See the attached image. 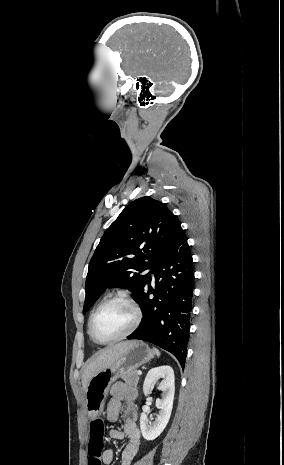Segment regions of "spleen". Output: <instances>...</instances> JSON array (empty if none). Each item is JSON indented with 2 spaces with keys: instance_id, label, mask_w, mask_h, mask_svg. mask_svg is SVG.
<instances>
[{
  "instance_id": "3e777b00",
  "label": "spleen",
  "mask_w": 284,
  "mask_h": 465,
  "mask_svg": "<svg viewBox=\"0 0 284 465\" xmlns=\"http://www.w3.org/2000/svg\"><path fill=\"white\" fill-rule=\"evenodd\" d=\"M154 351H155V355H157V357H160V353H159L158 349H154Z\"/></svg>"
}]
</instances>
